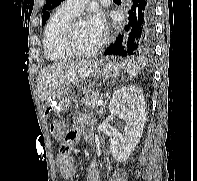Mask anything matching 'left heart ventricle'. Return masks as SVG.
<instances>
[{
    "label": "left heart ventricle",
    "mask_w": 197,
    "mask_h": 181,
    "mask_svg": "<svg viewBox=\"0 0 197 181\" xmlns=\"http://www.w3.org/2000/svg\"><path fill=\"white\" fill-rule=\"evenodd\" d=\"M102 35L96 32L88 21L80 22L75 32V44L78 49L87 51L95 48L101 41Z\"/></svg>",
    "instance_id": "left-heart-ventricle-1"
}]
</instances>
